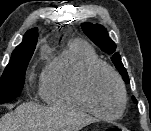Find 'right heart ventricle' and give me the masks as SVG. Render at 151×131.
I'll use <instances>...</instances> for the list:
<instances>
[{"label": "right heart ventricle", "instance_id": "e07e8e85", "mask_svg": "<svg viewBox=\"0 0 151 131\" xmlns=\"http://www.w3.org/2000/svg\"><path fill=\"white\" fill-rule=\"evenodd\" d=\"M95 61L99 57L90 44L80 39L70 41L42 72V99L51 105L86 109L77 95L76 85L85 68Z\"/></svg>", "mask_w": 151, "mask_h": 131}]
</instances>
